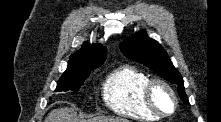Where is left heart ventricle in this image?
I'll use <instances>...</instances> for the list:
<instances>
[{"instance_id": "left-heart-ventricle-1", "label": "left heart ventricle", "mask_w": 221, "mask_h": 122, "mask_svg": "<svg viewBox=\"0 0 221 122\" xmlns=\"http://www.w3.org/2000/svg\"><path fill=\"white\" fill-rule=\"evenodd\" d=\"M154 100L157 106L164 112H170L173 109V99L169 92L163 87H156L154 90Z\"/></svg>"}]
</instances>
